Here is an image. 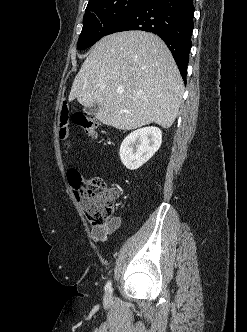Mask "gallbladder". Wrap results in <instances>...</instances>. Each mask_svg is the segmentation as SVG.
Returning a JSON list of instances; mask_svg holds the SVG:
<instances>
[{"mask_svg": "<svg viewBox=\"0 0 247 332\" xmlns=\"http://www.w3.org/2000/svg\"><path fill=\"white\" fill-rule=\"evenodd\" d=\"M83 110H84L85 112L91 114V115H94V114H96L97 111H98V105H97V104H94V105H92V106L85 107Z\"/></svg>", "mask_w": 247, "mask_h": 332, "instance_id": "gallbladder-1", "label": "gallbladder"}]
</instances>
